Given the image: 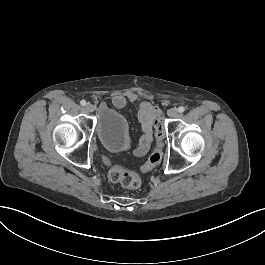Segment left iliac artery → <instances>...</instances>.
Segmentation results:
<instances>
[{
    "mask_svg": "<svg viewBox=\"0 0 265 265\" xmlns=\"http://www.w3.org/2000/svg\"><path fill=\"white\" fill-rule=\"evenodd\" d=\"M184 111H185V107L180 106V107L178 108V112H179V113H183Z\"/></svg>",
    "mask_w": 265,
    "mask_h": 265,
    "instance_id": "obj_1",
    "label": "left iliac artery"
}]
</instances>
